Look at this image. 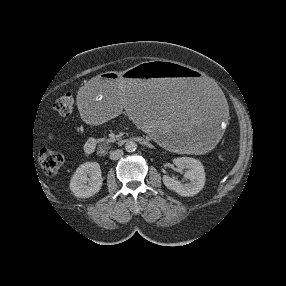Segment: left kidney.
I'll use <instances>...</instances> for the list:
<instances>
[{
  "label": "left kidney",
  "instance_id": "obj_1",
  "mask_svg": "<svg viewBox=\"0 0 286 286\" xmlns=\"http://www.w3.org/2000/svg\"><path fill=\"white\" fill-rule=\"evenodd\" d=\"M173 163L180 169H187L185 178L189 183L182 184L179 180L168 175L163 176L164 185L181 196H194L199 193L205 184V172L202 163L191 157H179Z\"/></svg>",
  "mask_w": 286,
  "mask_h": 286
}]
</instances>
